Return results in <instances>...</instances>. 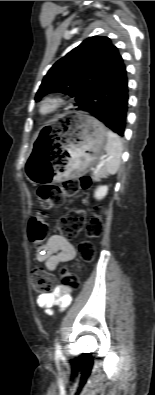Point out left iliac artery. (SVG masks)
<instances>
[{
    "label": "left iliac artery",
    "mask_w": 155,
    "mask_h": 395,
    "mask_svg": "<svg viewBox=\"0 0 155 395\" xmlns=\"http://www.w3.org/2000/svg\"><path fill=\"white\" fill-rule=\"evenodd\" d=\"M55 349H56L55 350L56 357L57 358L61 357L62 356V352H61V346H60L59 342L56 344V348Z\"/></svg>",
    "instance_id": "left-iliac-artery-1"
}]
</instances>
